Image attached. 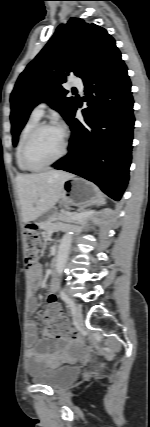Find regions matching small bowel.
<instances>
[{
  "label": "small bowel",
  "mask_w": 150,
  "mask_h": 427,
  "mask_svg": "<svg viewBox=\"0 0 150 427\" xmlns=\"http://www.w3.org/2000/svg\"><path fill=\"white\" fill-rule=\"evenodd\" d=\"M29 281L34 290L42 287L43 273L40 265H36L29 271ZM57 288L58 281L53 279L50 284L51 294H55ZM37 308L38 302L32 299L30 310L34 312ZM26 340L27 370L31 375H38L54 369L62 363L72 360L82 350L78 339L62 337L58 341H54L47 332L44 338L38 339V324L32 318L26 324Z\"/></svg>",
  "instance_id": "c3829d8e"
}]
</instances>
